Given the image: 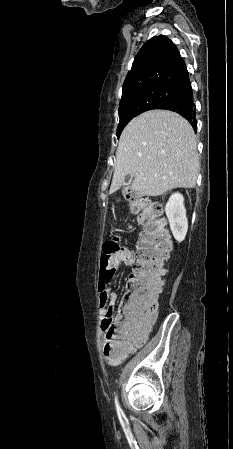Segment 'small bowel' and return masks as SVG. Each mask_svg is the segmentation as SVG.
Instances as JSON below:
<instances>
[{"instance_id": "1", "label": "small bowel", "mask_w": 233, "mask_h": 449, "mask_svg": "<svg viewBox=\"0 0 233 449\" xmlns=\"http://www.w3.org/2000/svg\"><path fill=\"white\" fill-rule=\"evenodd\" d=\"M135 263H136V259H135L134 254L129 251V256L121 257V259H120L119 263L117 264V266L115 267V269L113 271L109 272V277H108L109 281H111L113 275L115 274V272H116L117 268L120 266V264H124L126 266H133V265H135ZM108 283L109 282H107L106 287L103 291L99 290L100 291L99 305L105 314L108 311V309L111 308L115 304V301L117 298L115 292H113L110 289V287L108 286ZM155 318L156 317L150 318L147 322H145L140 327V329L136 333L133 343L127 347L126 354L134 352L137 348L141 347L145 343V341L147 340L148 335L151 331L152 324L154 323ZM102 332L105 333L104 323L102 326ZM115 344H117V343H115Z\"/></svg>"}]
</instances>
